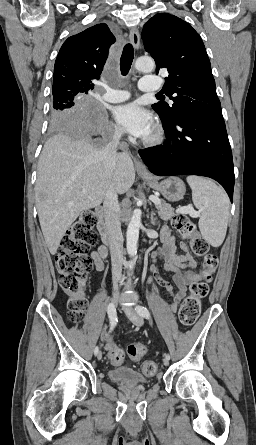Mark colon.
Segmentation results:
<instances>
[{"mask_svg":"<svg viewBox=\"0 0 256 445\" xmlns=\"http://www.w3.org/2000/svg\"><path fill=\"white\" fill-rule=\"evenodd\" d=\"M95 223L96 214L93 210L82 212L62 238L55 257L59 272L58 283L68 297L67 316L72 321L80 320L86 308L84 289L87 276L92 270L88 251L96 241ZM173 226L180 236L190 241L192 252L202 259L201 279L190 285V293L182 302L178 312L180 323L190 326L198 318L201 301L209 292V283L217 267V257L210 252L209 244L186 215H175ZM127 353L131 360L139 361L145 355L146 349L140 344H131L127 348ZM109 356L111 361L117 364L124 359L123 351L117 347L110 348ZM157 369L158 366L154 361H146L142 367L143 373L149 377L153 376Z\"/></svg>","mask_w":256,"mask_h":445,"instance_id":"colon-1","label":"colon"}]
</instances>
